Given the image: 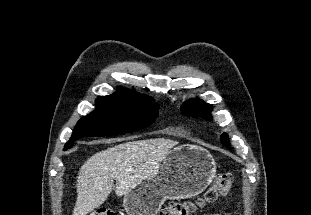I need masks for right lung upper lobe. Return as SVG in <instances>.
<instances>
[{"label":"right lung upper lobe","instance_id":"1","mask_svg":"<svg viewBox=\"0 0 311 215\" xmlns=\"http://www.w3.org/2000/svg\"><path fill=\"white\" fill-rule=\"evenodd\" d=\"M109 98H116L128 101H136V102H150L154 101V99L150 96L142 95L131 90L125 88H119L116 93L109 96H103Z\"/></svg>","mask_w":311,"mask_h":215}]
</instances>
